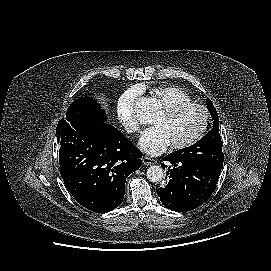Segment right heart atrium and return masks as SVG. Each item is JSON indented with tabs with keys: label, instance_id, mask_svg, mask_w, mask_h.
I'll list each match as a JSON object with an SVG mask.
<instances>
[{
	"label": "right heart atrium",
	"instance_id": "1",
	"mask_svg": "<svg viewBox=\"0 0 271 271\" xmlns=\"http://www.w3.org/2000/svg\"><path fill=\"white\" fill-rule=\"evenodd\" d=\"M140 95L138 87L126 90L117 101V116L120 124L130 134L140 132V123L134 114V105Z\"/></svg>",
	"mask_w": 271,
	"mask_h": 271
}]
</instances>
